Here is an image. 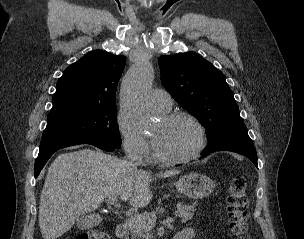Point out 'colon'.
<instances>
[{"label":"colon","mask_w":304,"mask_h":239,"mask_svg":"<svg viewBox=\"0 0 304 239\" xmlns=\"http://www.w3.org/2000/svg\"><path fill=\"white\" fill-rule=\"evenodd\" d=\"M247 181L244 176H235L228 187L227 211L232 233L239 239H249L248 235ZM76 239H110L101 230H89Z\"/></svg>","instance_id":"5ec220e1"}]
</instances>
